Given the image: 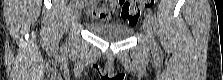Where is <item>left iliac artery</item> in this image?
<instances>
[{
	"instance_id": "obj_1",
	"label": "left iliac artery",
	"mask_w": 223,
	"mask_h": 80,
	"mask_svg": "<svg viewBox=\"0 0 223 80\" xmlns=\"http://www.w3.org/2000/svg\"><path fill=\"white\" fill-rule=\"evenodd\" d=\"M146 16H147V18L149 19V21L153 24L154 17H153L152 12H151L150 10H148Z\"/></svg>"
}]
</instances>
